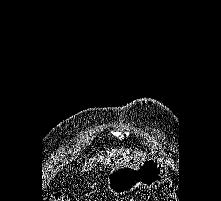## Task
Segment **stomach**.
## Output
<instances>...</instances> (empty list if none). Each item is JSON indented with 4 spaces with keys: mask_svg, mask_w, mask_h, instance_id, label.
<instances>
[{
    "mask_svg": "<svg viewBox=\"0 0 221 201\" xmlns=\"http://www.w3.org/2000/svg\"><path fill=\"white\" fill-rule=\"evenodd\" d=\"M168 173L167 163L150 157L116 165L107 177L108 189L115 195H123L139 187H156L166 180Z\"/></svg>",
    "mask_w": 221,
    "mask_h": 201,
    "instance_id": "stomach-1",
    "label": "stomach"
}]
</instances>
